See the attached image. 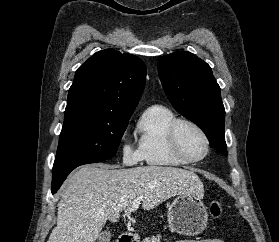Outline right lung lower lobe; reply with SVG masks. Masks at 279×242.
Listing matches in <instances>:
<instances>
[{"instance_id": "obj_1", "label": "right lung lower lobe", "mask_w": 279, "mask_h": 242, "mask_svg": "<svg viewBox=\"0 0 279 242\" xmlns=\"http://www.w3.org/2000/svg\"><path fill=\"white\" fill-rule=\"evenodd\" d=\"M67 175L64 176L63 178L57 180L56 182L52 183V194L56 193L58 191V189L60 188L61 184L63 183V181L66 179Z\"/></svg>"}]
</instances>
